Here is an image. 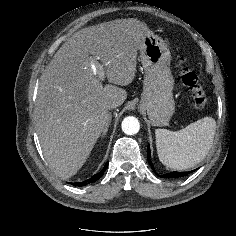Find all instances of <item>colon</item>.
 <instances>
[{
	"instance_id": "5ec220e1",
	"label": "colon",
	"mask_w": 236,
	"mask_h": 236,
	"mask_svg": "<svg viewBox=\"0 0 236 236\" xmlns=\"http://www.w3.org/2000/svg\"><path fill=\"white\" fill-rule=\"evenodd\" d=\"M181 62L183 64L181 69V80L183 84L190 89L194 106L198 109H202L208 104L209 97L201 82V78L198 73L185 65L184 60H181Z\"/></svg>"
}]
</instances>
